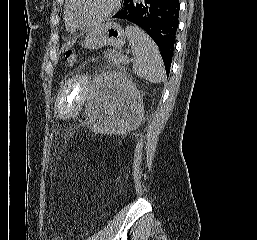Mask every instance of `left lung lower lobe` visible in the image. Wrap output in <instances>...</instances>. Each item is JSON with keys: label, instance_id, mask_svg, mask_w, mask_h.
Instances as JSON below:
<instances>
[{"label": "left lung lower lobe", "instance_id": "obj_1", "mask_svg": "<svg viewBox=\"0 0 257 240\" xmlns=\"http://www.w3.org/2000/svg\"><path fill=\"white\" fill-rule=\"evenodd\" d=\"M179 0H124L113 18L129 21L145 30L160 49L167 77L178 28Z\"/></svg>", "mask_w": 257, "mask_h": 240}]
</instances>
